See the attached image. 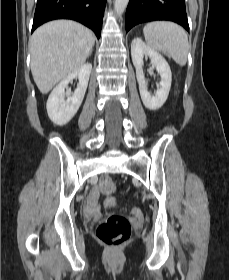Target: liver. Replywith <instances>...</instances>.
<instances>
[{
	"instance_id": "6515ba94",
	"label": "liver",
	"mask_w": 229,
	"mask_h": 280,
	"mask_svg": "<svg viewBox=\"0 0 229 280\" xmlns=\"http://www.w3.org/2000/svg\"><path fill=\"white\" fill-rule=\"evenodd\" d=\"M92 32L69 20L48 22L30 38L31 72L42 94L84 65L94 46Z\"/></svg>"
}]
</instances>
